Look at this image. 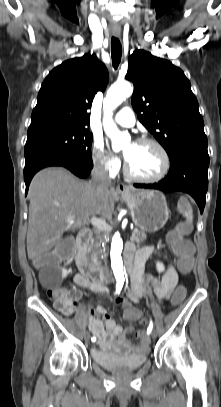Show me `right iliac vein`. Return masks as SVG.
Segmentation results:
<instances>
[{
  "label": "right iliac vein",
  "instance_id": "1",
  "mask_svg": "<svg viewBox=\"0 0 221 407\" xmlns=\"http://www.w3.org/2000/svg\"><path fill=\"white\" fill-rule=\"evenodd\" d=\"M84 339L86 342L89 341V334L87 332L84 334Z\"/></svg>",
  "mask_w": 221,
  "mask_h": 407
}]
</instances>
